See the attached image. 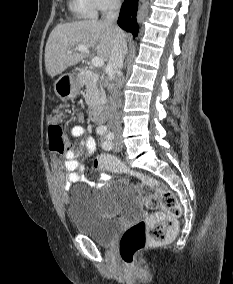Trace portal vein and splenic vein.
I'll return each instance as SVG.
<instances>
[{
	"label": "portal vein and splenic vein",
	"instance_id": "portal-vein-and-splenic-vein-1",
	"mask_svg": "<svg viewBox=\"0 0 233 284\" xmlns=\"http://www.w3.org/2000/svg\"><path fill=\"white\" fill-rule=\"evenodd\" d=\"M76 51H80V52H84V53H89V49L88 47L84 46V45H79L75 48ZM91 64L94 67H102L104 65V60L100 57H94L91 60Z\"/></svg>",
	"mask_w": 233,
	"mask_h": 284
}]
</instances>
